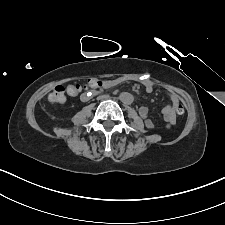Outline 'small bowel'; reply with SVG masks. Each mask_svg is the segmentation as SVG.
I'll return each mask as SVG.
<instances>
[{
    "label": "small bowel",
    "mask_w": 225,
    "mask_h": 225,
    "mask_svg": "<svg viewBox=\"0 0 225 225\" xmlns=\"http://www.w3.org/2000/svg\"><path fill=\"white\" fill-rule=\"evenodd\" d=\"M91 80L94 82V85L88 88L90 90H96L108 84L96 78H92ZM144 86L146 92L150 93L153 91V85L151 83H145ZM166 93L171 98V103L163 107L161 113L163 116V120L166 122L167 128H170L176 123V108L177 106L181 105V100L180 97L171 90H166ZM89 96L90 92H86L82 95L81 100L86 101L89 99ZM139 114L145 120V125L147 128L154 127V121L149 118V110L146 106H141L139 108Z\"/></svg>",
    "instance_id": "small-bowel-1"
}]
</instances>
